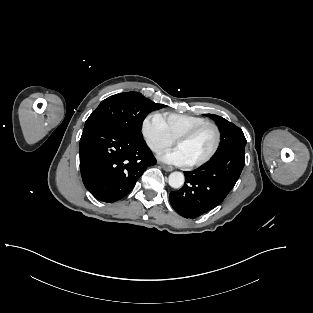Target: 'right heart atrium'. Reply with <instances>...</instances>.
Returning a JSON list of instances; mask_svg holds the SVG:
<instances>
[{"mask_svg": "<svg viewBox=\"0 0 313 313\" xmlns=\"http://www.w3.org/2000/svg\"><path fill=\"white\" fill-rule=\"evenodd\" d=\"M141 132L145 143L154 153H159L167 149L174 141L158 113L149 114L143 120Z\"/></svg>", "mask_w": 313, "mask_h": 313, "instance_id": "obj_1", "label": "right heart atrium"}]
</instances>
